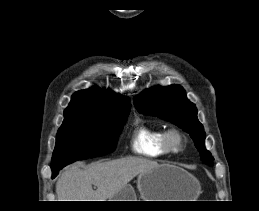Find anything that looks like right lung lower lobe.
<instances>
[{"label": "right lung lower lobe", "instance_id": "obj_1", "mask_svg": "<svg viewBox=\"0 0 259 211\" xmlns=\"http://www.w3.org/2000/svg\"><path fill=\"white\" fill-rule=\"evenodd\" d=\"M59 170L58 171H52V178H54L58 174Z\"/></svg>", "mask_w": 259, "mask_h": 211}]
</instances>
